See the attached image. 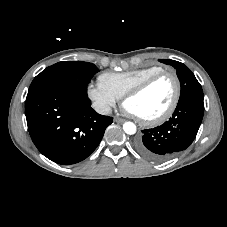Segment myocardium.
Masks as SVG:
<instances>
[{
    "instance_id": "1",
    "label": "myocardium",
    "mask_w": 227,
    "mask_h": 227,
    "mask_svg": "<svg viewBox=\"0 0 227 227\" xmlns=\"http://www.w3.org/2000/svg\"><path fill=\"white\" fill-rule=\"evenodd\" d=\"M163 76H170L174 81L175 92H174L173 99H172L170 105L168 106V108L163 113H161L160 115H158L154 118L144 119V118L135 116L136 119L144 125H147V126L158 125V124L165 122L167 119H169L172 116V114L174 113V111L176 110V108L178 106V103H179L180 97H181V83H180V79H179L178 75L174 71H171V70H162L160 72H157V73L149 76L148 78H146L145 80H143L142 82L137 84L136 86L129 89L123 95L122 104H123V106H125V103L127 102V100L143 93L155 81H157L158 79H160Z\"/></svg>"
}]
</instances>
